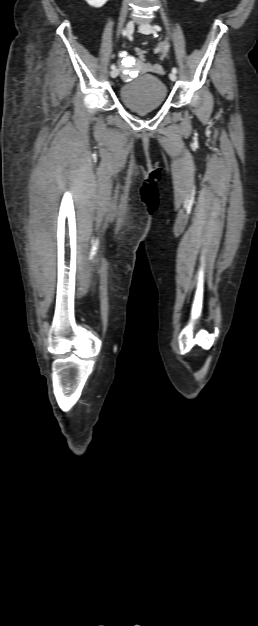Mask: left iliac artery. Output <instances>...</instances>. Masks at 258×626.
<instances>
[{
    "instance_id": "44dca946",
    "label": "left iliac artery",
    "mask_w": 258,
    "mask_h": 626,
    "mask_svg": "<svg viewBox=\"0 0 258 626\" xmlns=\"http://www.w3.org/2000/svg\"><path fill=\"white\" fill-rule=\"evenodd\" d=\"M153 30H154V31H161V27H160V26H158V25H154V26H153ZM172 72H173L174 74H176V73H177V68L173 67Z\"/></svg>"
}]
</instances>
